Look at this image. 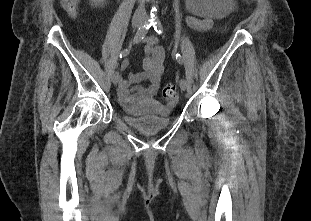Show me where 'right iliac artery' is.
<instances>
[{
  "mask_svg": "<svg viewBox=\"0 0 311 221\" xmlns=\"http://www.w3.org/2000/svg\"><path fill=\"white\" fill-rule=\"evenodd\" d=\"M153 25V20H148L147 22H145L144 25H142L141 27H139V29L137 30L134 40V43H139L142 39L145 38L149 28ZM129 54V49H124L123 51H121L120 53V58H123L125 56H127Z\"/></svg>",
  "mask_w": 311,
  "mask_h": 221,
  "instance_id": "1",
  "label": "right iliac artery"
}]
</instances>
